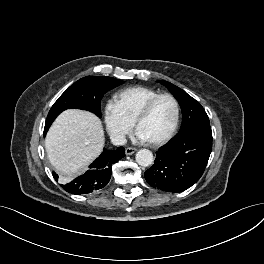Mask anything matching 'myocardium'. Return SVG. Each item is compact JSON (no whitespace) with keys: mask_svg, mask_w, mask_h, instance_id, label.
I'll use <instances>...</instances> for the list:
<instances>
[{"mask_svg":"<svg viewBox=\"0 0 264 264\" xmlns=\"http://www.w3.org/2000/svg\"><path fill=\"white\" fill-rule=\"evenodd\" d=\"M163 97H168L173 101L174 106H175V118H174L173 125L167 134H165L163 137H161L157 140H148L150 144L155 145V146H159V145H163V144L167 143L169 140H171L173 138V136L175 135V133L178 129L179 121H180V105H179V102L176 99V97L170 93H159V94H157L156 96L152 97L151 99H149L146 102V104L140 110V112L138 113V115L134 121L135 126L138 129L140 123L145 118L148 117V115L152 111L156 102Z\"/></svg>","mask_w":264,"mask_h":264,"instance_id":"myocardium-1","label":"myocardium"}]
</instances>
